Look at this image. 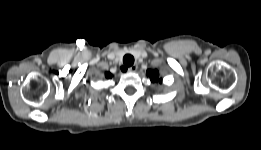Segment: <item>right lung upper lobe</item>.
<instances>
[{
	"label": "right lung upper lobe",
	"mask_w": 261,
	"mask_h": 150,
	"mask_svg": "<svg viewBox=\"0 0 261 150\" xmlns=\"http://www.w3.org/2000/svg\"><path fill=\"white\" fill-rule=\"evenodd\" d=\"M105 76H106L107 78H111V77H112V74L109 73V72H107V73L105 74Z\"/></svg>",
	"instance_id": "obj_1"
}]
</instances>
